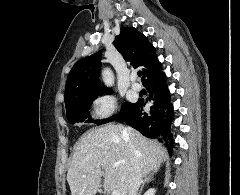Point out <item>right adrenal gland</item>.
Wrapping results in <instances>:
<instances>
[{"label":"right adrenal gland","instance_id":"obj_1","mask_svg":"<svg viewBox=\"0 0 240 195\" xmlns=\"http://www.w3.org/2000/svg\"><path fill=\"white\" fill-rule=\"evenodd\" d=\"M153 177H154V173H147L144 181H142V185H141V187L139 189L138 195H141L142 189H143L144 185H146V183H149V181H152Z\"/></svg>","mask_w":240,"mask_h":195}]
</instances>
